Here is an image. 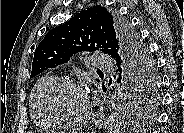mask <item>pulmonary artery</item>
<instances>
[{"mask_svg": "<svg viewBox=\"0 0 184 133\" xmlns=\"http://www.w3.org/2000/svg\"><path fill=\"white\" fill-rule=\"evenodd\" d=\"M91 61L96 69L110 70L114 68V64L111 58L106 55L96 54L91 57Z\"/></svg>", "mask_w": 184, "mask_h": 133, "instance_id": "e3ab8cb5", "label": "pulmonary artery"}]
</instances>
